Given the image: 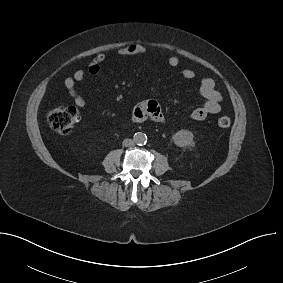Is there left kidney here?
<instances>
[{
	"label": "left kidney",
	"mask_w": 283,
	"mask_h": 283,
	"mask_svg": "<svg viewBox=\"0 0 283 283\" xmlns=\"http://www.w3.org/2000/svg\"><path fill=\"white\" fill-rule=\"evenodd\" d=\"M193 138V133L187 130H180L172 136L174 144L178 147H186L192 145L194 143Z\"/></svg>",
	"instance_id": "1"
}]
</instances>
